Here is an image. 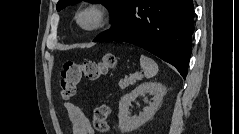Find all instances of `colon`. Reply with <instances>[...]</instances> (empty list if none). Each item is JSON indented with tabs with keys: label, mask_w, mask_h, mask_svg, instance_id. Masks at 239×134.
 I'll return each instance as SVG.
<instances>
[{
	"label": "colon",
	"mask_w": 239,
	"mask_h": 134,
	"mask_svg": "<svg viewBox=\"0 0 239 134\" xmlns=\"http://www.w3.org/2000/svg\"><path fill=\"white\" fill-rule=\"evenodd\" d=\"M115 63L116 57L113 54L104 55L100 61L66 62L61 70L60 78L62 96L73 97L82 79L97 81L105 76ZM110 112V107L106 104L99 105L94 110L93 124L101 133H107L110 129L107 121Z\"/></svg>",
	"instance_id": "colon-1"
}]
</instances>
